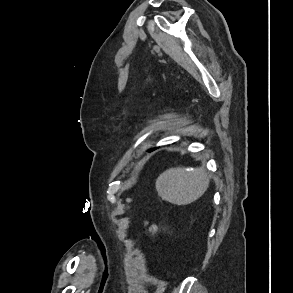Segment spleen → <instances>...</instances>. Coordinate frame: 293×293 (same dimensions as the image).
I'll return each instance as SVG.
<instances>
[{
  "mask_svg": "<svg viewBox=\"0 0 293 293\" xmlns=\"http://www.w3.org/2000/svg\"><path fill=\"white\" fill-rule=\"evenodd\" d=\"M203 167H175L164 171L156 180L159 196L172 204L187 205L199 199L209 187Z\"/></svg>",
  "mask_w": 293,
  "mask_h": 293,
  "instance_id": "obj_1",
  "label": "spleen"
}]
</instances>
